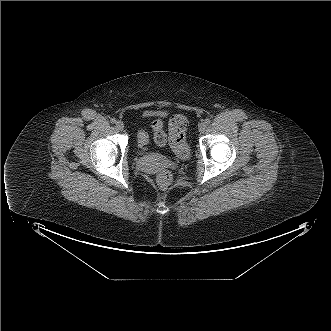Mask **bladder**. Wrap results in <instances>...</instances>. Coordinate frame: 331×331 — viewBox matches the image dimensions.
I'll return each instance as SVG.
<instances>
[{"label": "bladder", "mask_w": 331, "mask_h": 331, "mask_svg": "<svg viewBox=\"0 0 331 331\" xmlns=\"http://www.w3.org/2000/svg\"><path fill=\"white\" fill-rule=\"evenodd\" d=\"M146 157L150 159H159L162 157V155L160 153H149L146 155Z\"/></svg>", "instance_id": "1"}]
</instances>
